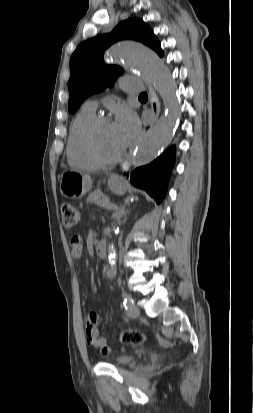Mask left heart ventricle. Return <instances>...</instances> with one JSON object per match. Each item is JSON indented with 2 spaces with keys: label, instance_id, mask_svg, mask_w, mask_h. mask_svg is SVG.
Here are the masks:
<instances>
[{
  "label": "left heart ventricle",
  "instance_id": "b2bd125f",
  "mask_svg": "<svg viewBox=\"0 0 253 413\" xmlns=\"http://www.w3.org/2000/svg\"><path fill=\"white\" fill-rule=\"evenodd\" d=\"M96 145L99 152L106 157H112L122 150L111 123L99 127Z\"/></svg>",
  "mask_w": 253,
  "mask_h": 413
}]
</instances>
